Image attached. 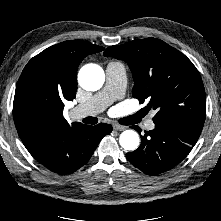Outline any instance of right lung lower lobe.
Returning <instances> with one entry per match:
<instances>
[{"instance_id":"98d812e1","label":"right lung lower lobe","mask_w":221,"mask_h":221,"mask_svg":"<svg viewBox=\"0 0 221 221\" xmlns=\"http://www.w3.org/2000/svg\"><path fill=\"white\" fill-rule=\"evenodd\" d=\"M112 131V126L100 123L84 125L70 132L60 145L51 146L41 157H35L52 172L66 175L88 162L100 140Z\"/></svg>"}]
</instances>
